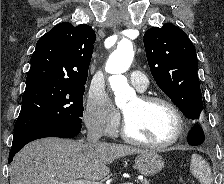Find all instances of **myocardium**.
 <instances>
[{
  "label": "myocardium",
  "mask_w": 224,
  "mask_h": 184,
  "mask_svg": "<svg viewBox=\"0 0 224 184\" xmlns=\"http://www.w3.org/2000/svg\"><path fill=\"white\" fill-rule=\"evenodd\" d=\"M139 100L143 104L161 103V104H164L167 107H169L171 109V111L174 113L175 118H176L175 132H174L173 136L165 142H162V143L147 142V141H144V140L134 137L130 133L127 117H126V115H124V120H123V124H122V129H121V134H122L123 138L132 144L143 146V147L150 148V149H155V150L166 149V148L174 145L176 142H178L185 132V118H184V115H183L182 111L180 110V108L169 98H166L164 96H159V95H141V96H139Z\"/></svg>",
  "instance_id": "myocardium-1"
}]
</instances>
